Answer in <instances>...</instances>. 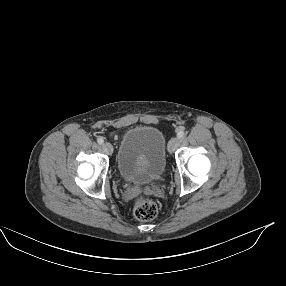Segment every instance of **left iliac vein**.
Listing matches in <instances>:
<instances>
[{
  "mask_svg": "<svg viewBox=\"0 0 286 286\" xmlns=\"http://www.w3.org/2000/svg\"><path fill=\"white\" fill-rule=\"evenodd\" d=\"M180 144V138L173 137L168 143V152L173 153Z\"/></svg>",
  "mask_w": 286,
  "mask_h": 286,
  "instance_id": "1",
  "label": "left iliac vein"
}]
</instances>
